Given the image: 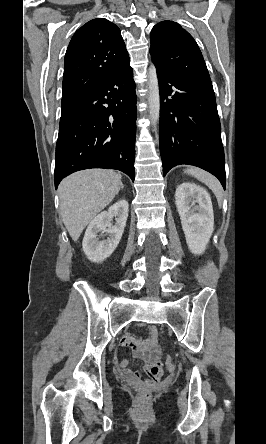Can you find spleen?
<instances>
[{
    "label": "spleen",
    "instance_id": "1",
    "mask_svg": "<svg viewBox=\"0 0 266 444\" xmlns=\"http://www.w3.org/2000/svg\"><path fill=\"white\" fill-rule=\"evenodd\" d=\"M185 173L190 174L199 181L205 183L216 195L218 203L221 205L223 200L222 187L214 176L198 168H188L185 170Z\"/></svg>",
    "mask_w": 266,
    "mask_h": 444
}]
</instances>
